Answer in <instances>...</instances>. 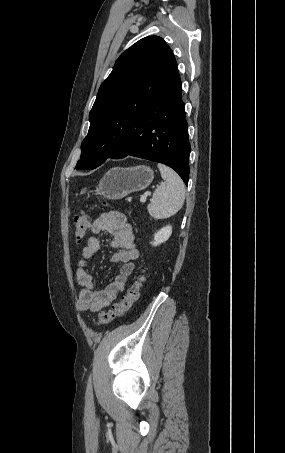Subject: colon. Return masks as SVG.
<instances>
[{
    "label": "colon",
    "instance_id": "colon-1",
    "mask_svg": "<svg viewBox=\"0 0 285 453\" xmlns=\"http://www.w3.org/2000/svg\"><path fill=\"white\" fill-rule=\"evenodd\" d=\"M103 205H107V202H103ZM75 240L77 243H81L89 229V216L86 212H81L75 216ZM144 274L140 272L129 288L127 293L121 298L120 302L115 303L108 311L101 312L99 314L97 324H107L117 317L123 316L129 311L134 303L139 299L140 290L144 282Z\"/></svg>",
    "mask_w": 285,
    "mask_h": 453
}]
</instances>
